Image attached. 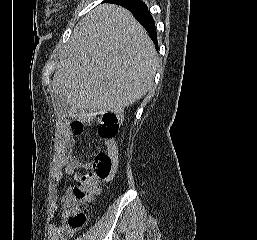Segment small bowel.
Wrapping results in <instances>:
<instances>
[{"label":"small bowel","mask_w":257,"mask_h":240,"mask_svg":"<svg viewBox=\"0 0 257 240\" xmlns=\"http://www.w3.org/2000/svg\"><path fill=\"white\" fill-rule=\"evenodd\" d=\"M80 133H73L67 127H61L56 136L55 156L53 166V182L57 186L60 184L63 175H72L76 181L82 177L78 172L80 169H89L90 164L80 161L74 154L75 138ZM107 153L115 160L118 156V148L115 140L108 139L104 141ZM72 189L68 188L61 198V201L67 197ZM59 209V200L54 199L50 208V224L48 225V240H66L72 236L75 230H72L67 224H57L54 222V216Z\"/></svg>","instance_id":"obj_1"}]
</instances>
